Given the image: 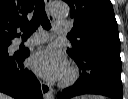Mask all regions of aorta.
Wrapping results in <instances>:
<instances>
[{"mask_svg": "<svg viewBox=\"0 0 128 99\" xmlns=\"http://www.w3.org/2000/svg\"><path fill=\"white\" fill-rule=\"evenodd\" d=\"M69 6L66 2L62 0H55L51 4V13L56 18H65L69 15ZM47 99H54L55 96L53 93L49 92L47 94Z\"/></svg>", "mask_w": 128, "mask_h": 99, "instance_id": "obj_1", "label": "aorta"}]
</instances>
